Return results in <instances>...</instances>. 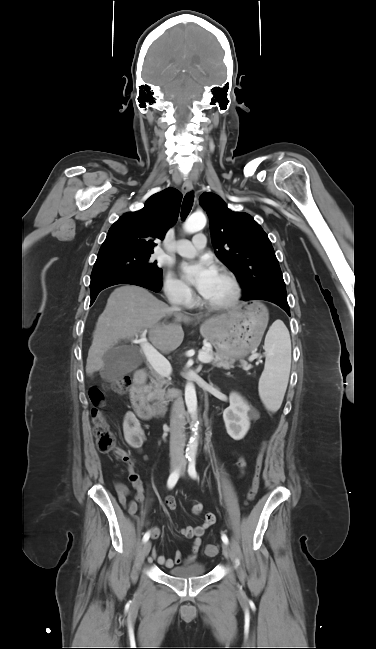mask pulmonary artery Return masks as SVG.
Returning <instances> with one entry per match:
<instances>
[{"label":"pulmonary artery","instance_id":"1","mask_svg":"<svg viewBox=\"0 0 376 649\" xmlns=\"http://www.w3.org/2000/svg\"><path fill=\"white\" fill-rule=\"evenodd\" d=\"M205 246V234L198 233L194 236L192 241L184 239L176 241L171 250L181 256L191 257L194 256L198 251L202 250Z\"/></svg>","mask_w":376,"mask_h":649}]
</instances>
